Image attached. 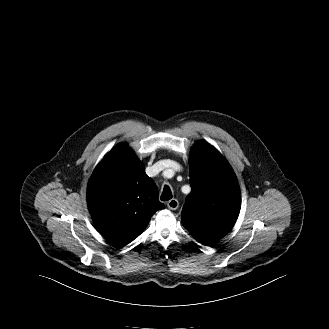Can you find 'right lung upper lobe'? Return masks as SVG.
I'll return each instance as SVG.
<instances>
[{"instance_id":"right-lung-upper-lobe-1","label":"right lung upper lobe","mask_w":329,"mask_h":329,"mask_svg":"<svg viewBox=\"0 0 329 329\" xmlns=\"http://www.w3.org/2000/svg\"><path fill=\"white\" fill-rule=\"evenodd\" d=\"M95 226L112 243L125 246L138 237L164 204L145 167L126 144H118L95 168L87 188Z\"/></svg>"}]
</instances>
